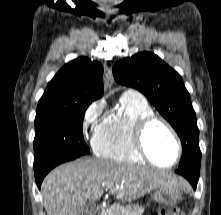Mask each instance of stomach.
Segmentation results:
<instances>
[{
    "label": "stomach",
    "instance_id": "0dacf381",
    "mask_svg": "<svg viewBox=\"0 0 221 215\" xmlns=\"http://www.w3.org/2000/svg\"><path fill=\"white\" fill-rule=\"evenodd\" d=\"M150 198L153 202L163 206L176 205L182 198L181 191L175 187H162L151 191Z\"/></svg>",
    "mask_w": 221,
    "mask_h": 215
}]
</instances>
